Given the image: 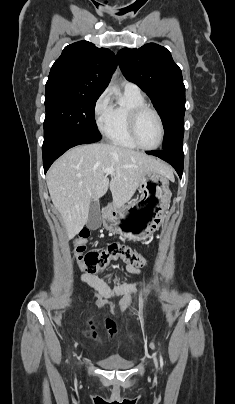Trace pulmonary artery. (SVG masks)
Returning <instances> with one entry per match:
<instances>
[{"label":"pulmonary artery","instance_id":"obj_1","mask_svg":"<svg viewBox=\"0 0 235 404\" xmlns=\"http://www.w3.org/2000/svg\"><path fill=\"white\" fill-rule=\"evenodd\" d=\"M124 90L129 91V92H140L139 87L131 82H125L124 83Z\"/></svg>","mask_w":235,"mask_h":404}]
</instances>
